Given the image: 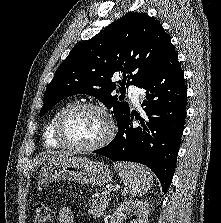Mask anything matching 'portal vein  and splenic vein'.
<instances>
[{
	"label": "portal vein and splenic vein",
	"mask_w": 221,
	"mask_h": 223,
	"mask_svg": "<svg viewBox=\"0 0 221 223\" xmlns=\"http://www.w3.org/2000/svg\"><path fill=\"white\" fill-rule=\"evenodd\" d=\"M110 193V190H108L107 192H104L103 194H109Z\"/></svg>",
	"instance_id": "portal-vein-and-splenic-vein-1"
}]
</instances>
